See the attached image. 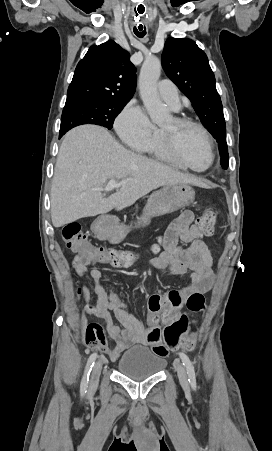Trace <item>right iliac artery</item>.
I'll list each match as a JSON object with an SVG mask.
<instances>
[{
    "mask_svg": "<svg viewBox=\"0 0 272 451\" xmlns=\"http://www.w3.org/2000/svg\"><path fill=\"white\" fill-rule=\"evenodd\" d=\"M96 354H92L90 355L87 364H86V368H85V372L81 381V385H80V392H81V396H83L86 391H87V387H88V383H89V376H90V372L94 366L95 360H96Z\"/></svg>",
    "mask_w": 272,
    "mask_h": 451,
    "instance_id": "1",
    "label": "right iliac artery"
}]
</instances>
